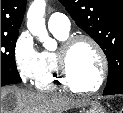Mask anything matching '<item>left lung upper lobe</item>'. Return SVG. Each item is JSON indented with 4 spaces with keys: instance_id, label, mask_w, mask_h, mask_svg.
Returning <instances> with one entry per match:
<instances>
[{
    "instance_id": "1",
    "label": "left lung upper lobe",
    "mask_w": 123,
    "mask_h": 113,
    "mask_svg": "<svg viewBox=\"0 0 123 113\" xmlns=\"http://www.w3.org/2000/svg\"><path fill=\"white\" fill-rule=\"evenodd\" d=\"M108 59L105 94H123V0H59Z\"/></svg>"
}]
</instances>
